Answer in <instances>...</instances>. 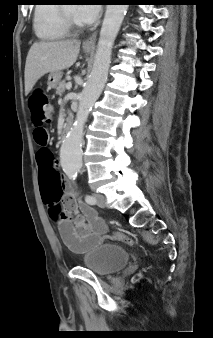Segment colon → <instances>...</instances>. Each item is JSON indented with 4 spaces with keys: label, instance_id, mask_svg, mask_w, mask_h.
I'll return each mask as SVG.
<instances>
[{
    "label": "colon",
    "instance_id": "obj_1",
    "mask_svg": "<svg viewBox=\"0 0 213 338\" xmlns=\"http://www.w3.org/2000/svg\"><path fill=\"white\" fill-rule=\"evenodd\" d=\"M29 109L31 112V121L34 130V140L42 150L39 151L38 157L45 162V152L43 149L50 143V134L43 126L44 123L50 122L53 118L54 108L49 103L47 95L44 91H36L29 97ZM43 179L46 182L51 181V176L47 168L44 169ZM51 213L55 216L56 221L59 223L61 220V208L58 204L51 207ZM72 218V216H68ZM112 239L116 242L131 245L133 240L130 237L115 235Z\"/></svg>",
    "mask_w": 213,
    "mask_h": 338
}]
</instances>
